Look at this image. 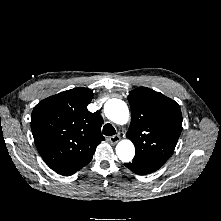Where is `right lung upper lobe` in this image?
I'll return each instance as SVG.
<instances>
[{
  "mask_svg": "<svg viewBox=\"0 0 221 221\" xmlns=\"http://www.w3.org/2000/svg\"><path fill=\"white\" fill-rule=\"evenodd\" d=\"M92 97L90 89L79 87L48 97L33 109L31 129L38 152L60 175H73L87 165L104 140L101 115L87 110Z\"/></svg>",
  "mask_w": 221,
  "mask_h": 221,
  "instance_id": "right-lung-upper-lobe-1",
  "label": "right lung upper lobe"
}]
</instances>
